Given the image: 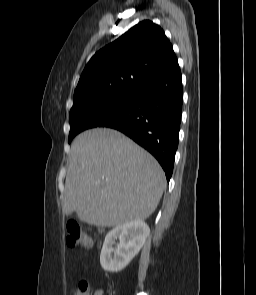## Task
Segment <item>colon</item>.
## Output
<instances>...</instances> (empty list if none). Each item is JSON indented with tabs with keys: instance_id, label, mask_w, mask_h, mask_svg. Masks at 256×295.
<instances>
[{
	"instance_id": "5ec220e1",
	"label": "colon",
	"mask_w": 256,
	"mask_h": 295,
	"mask_svg": "<svg viewBox=\"0 0 256 295\" xmlns=\"http://www.w3.org/2000/svg\"><path fill=\"white\" fill-rule=\"evenodd\" d=\"M66 230V243L69 248L91 247L92 242L88 233L78 223L73 221L68 222ZM74 295H88V284L86 281L82 280L77 284Z\"/></svg>"
}]
</instances>
